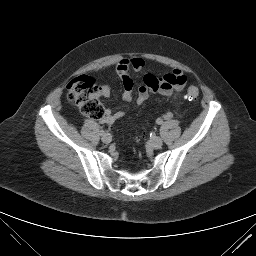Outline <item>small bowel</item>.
Instances as JSON below:
<instances>
[{
	"instance_id": "1",
	"label": "small bowel",
	"mask_w": 256,
	"mask_h": 256,
	"mask_svg": "<svg viewBox=\"0 0 256 256\" xmlns=\"http://www.w3.org/2000/svg\"><path fill=\"white\" fill-rule=\"evenodd\" d=\"M145 67V61L142 58H127L122 59L116 66V73L122 80L123 84V99L127 102L133 99L134 83L130 76V71L140 72ZM186 85V77L179 70H173L170 73L158 78L153 74H146L143 79V85L138 88L136 102L143 104L149 97L150 93L157 92L165 97H176ZM111 94V88L108 84H103L101 87V95L105 98ZM123 112H112L107 110L102 123L112 124L122 118Z\"/></svg>"
}]
</instances>
